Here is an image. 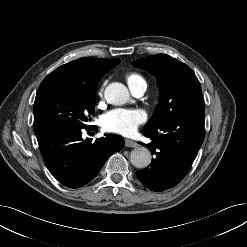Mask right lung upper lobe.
I'll use <instances>...</instances> for the list:
<instances>
[{"label": "right lung upper lobe", "mask_w": 247, "mask_h": 247, "mask_svg": "<svg viewBox=\"0 0 247 247\" xmlns=\"http://www.w3.org/2000/svg\"><path fill=\"white\" fill-rule=\"evenodd\" d=\"M120 62V59L80 58L52 71L40 84L38 90L61 86L97 91L103 75Z\"/></svg>", "instance_id": "cb5924a9"}]
</instances>
